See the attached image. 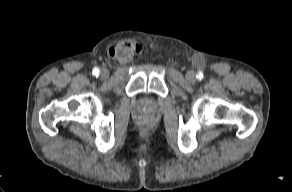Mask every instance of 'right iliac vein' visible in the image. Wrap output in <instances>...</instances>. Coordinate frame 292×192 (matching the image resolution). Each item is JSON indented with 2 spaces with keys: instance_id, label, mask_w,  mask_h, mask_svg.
I'll use <instances>...</instances> for the list:
<instances>
[{
  "instance_id": "right-iliac-vein-1",
  "label": "right iliac vein",
  "mask_w": 292,
  "mask_h": 192,
  "mask_svg": "<svg viewBox=\"0 0 292 192\" xmlns=\"http://www.w3.org/2000/svg\"><path fill=\"white\" fill-rule=\"evenodd\" d=\"M100 77H101L102 79L107 78V77H108V71H107V70H101V72H100Z\"/></svg>"
}]
</instances>
